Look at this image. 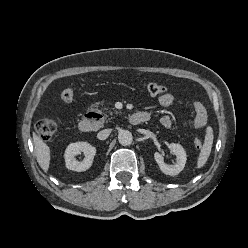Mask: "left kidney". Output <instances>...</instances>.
I'll use <instances>...</instances> for the list:
<instances>
[{"label": "left kidney", "mask_w": 248, "mask_h": 248, "mask_svg": "<svg viewBox=\"0 0 248 248\" xmlns=\"http://www.w3.org/2000/svg\"><path fill=\"white\" fill-rule=\"evenodd\" d=\"M171 152L177 157V162L174 165H168L164 162V157L159 152L154 154V159L159 165L161 171L166 175H178L185 167L187 155L184 148L179 144L171 143L169 145Z\"/></svg>", "instance_id": "left-kidney-1"}]
</instances>
